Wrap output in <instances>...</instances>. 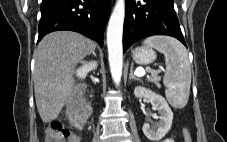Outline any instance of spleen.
Segmentation results:
<instances>
[{
  "instance_id": "1",
  "label": "spleen",
  "mask_w": 227,
  "mask_h": 142,
  "mask_svg": "<svg viewBox=\"0 0 227 142\" xmlns=\"http://www.w3.org/2000/svg\"><path fill=\"white\" fill-rule=\"evenodd\" d=\"M143 44L164 54L166 74L163 84L166 87V98L173 107L183 108L188 102L191 85V68L186 48L167 36H151Z\"/></svg>"
}]
</instances>
